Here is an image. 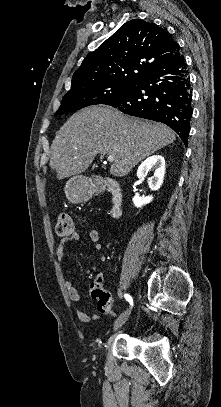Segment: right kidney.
Listing matches in <instances>:
<instances>
[{
  "instance_id": "ca27d5eb",
  "label": "right kidney",
  "mask_w": 221,
  "mask_h": 407,
  "mask_svg": "<svg viewBox=\"0 0 221 407\" xmlns=\"http://www.w3.org/2000/svg\"><path fill=\"white\" fill-rule=\"evenodd\" d=\"M154 171V175L148 179V185L151 190H158L164 179L165 174V160L161 155H152L141 163L137 170V177L140 180H144L145 174L148 171ZM152 196L140 197L136 195L133 197V203L137 208L142 207L152 201Z\"/></svg>"
}]
</instances>
